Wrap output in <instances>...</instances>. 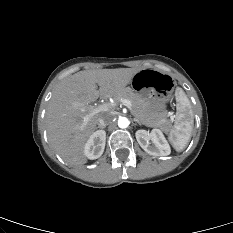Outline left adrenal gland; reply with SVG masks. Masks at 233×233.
<instances>
[{
    "label": "left adrenal gland",
    "mask_w": 233,
    "mask_h": 233,
    "mask_svg": "<svg viewBox=\"0 0 233 233\" xmlns=\"http://www.w3.org/2000/svg\"><path fill=\"white\" fill-rule=\"evenodd\" d=\"M134 122H137L139 125H141V122L137 119H134Z\"/></svg>",
    "instance_id": "left-adrenal-gland-1"
}]
</instances>
